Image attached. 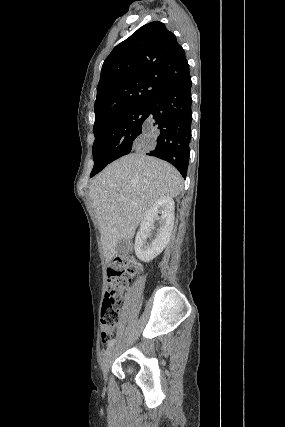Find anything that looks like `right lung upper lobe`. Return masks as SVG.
Returning <instances> with one entry per match:
<instances>
[{"label": "right lung upper lobe", "instance_id": "right-lung-upper-lobe-1", "mask_svg": "<svg viewBox=\"0 0 285 427\" xmlns=\"http://www.w3.org/2000/svg\"><path fill=\"white\" fill-rule=\"evenodd\" d=\"M189 74L176 36L159 21L139 28L105 59L94 105V127L126 109L148 103Z\"/></svg>", "mask_w": 285, "mask_h": 427}]
</instances>
